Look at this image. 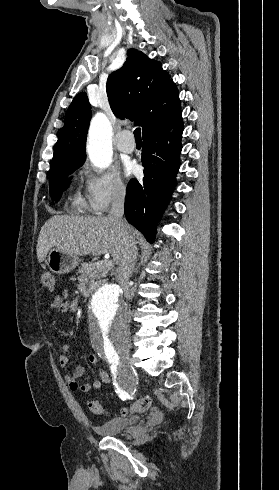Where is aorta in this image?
I'll list each match as a JSON object with an SVG mask.
<instances>
[{"label": "aorta", "instance_id": "aorta-1", "mask_svg": "<svg viewBox=\"0 0 279 490\" xmlns=\"http://www.w3.org/2000/svg\"><path fill=\"white\" fill-rule=\"evenodd\" d=\"M112 127L103 113L90 122L87 152L90 161L99 168L112 162ZM87 323L92 345L99 353H108L130 340V311L121 292L114 284L96 290L90 300Z\"/></svg>", "mask_w": 279, "mask_h": 490}]
</instances>
